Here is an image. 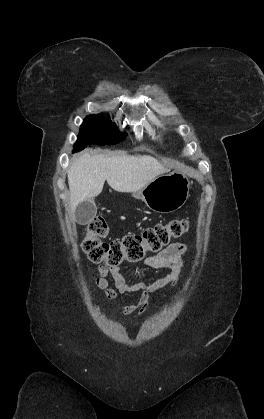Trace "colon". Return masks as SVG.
I'll use <instances>...</instances> for the list:
<instances>
[{"instance_id":"obj_1","label":"colon","mask_w":264,"mask_h":419,"mask_svg":"<svg viewBox=\"0 0 264 419\" xmlns=\"http://www.w3.org/2000/svg\"><path fill=\"white\" fill-rule=\"evenodd\" d=\"M188 228L184 219H172L145 229L141 234H130L122 239L105 242L108 232L104 217H95L88 225L82 248L90 261L118 268L124 262H137L147 253H157L172 239L181 237Z\"/></svg>"}]
</instances>
